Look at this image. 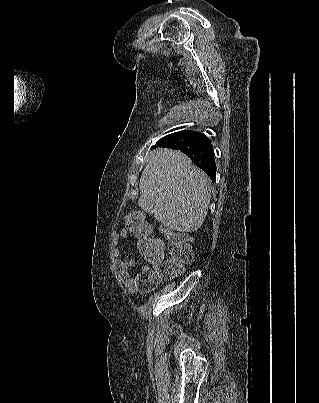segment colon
<instances>
[{"label":"colon","instance_id":"5ec220e1","mask_svg":"<svg viewBox=\"0 0 319 403\" xmlns=\"http://www.w3.org/2000/svg\"><path fill=\"white\" fill-rule=\"evenodd\" d=\"M126 226L130 233L138 238V248L143 257L153 264L150 270L137 276L136 285L139 292L153 291L161 281L182 274L185 266L192 262L193 247L184 232L165 230V255L162 241L150 234L149 223L143 214L130 213L126 218Z\"/></svg>","mask_w":319,"mask_h":403}]
</instances>
